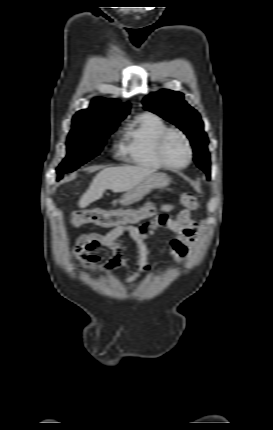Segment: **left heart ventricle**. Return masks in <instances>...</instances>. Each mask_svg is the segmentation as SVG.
Segmentation results:
<instances>
[{"label":"left heart ventricle","instance_id":"1","mask_svg":"<svg viewBox=\"0 0 273 430\" xmlns=\"http://www.w3.org/2000/svg\"><path fill=\"white\" fill-rule=\"evenodd\" d=\"M166 159L175 165L183 164L187 158L186 146L183 139L177 134H171L164 144Z\"/></svg>","mask_w":273,"mask_h":430}]
</instances>
